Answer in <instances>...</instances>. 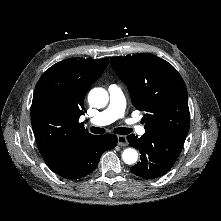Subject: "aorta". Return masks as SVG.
Listing matches in <instances>:
<instances>
[{
  "label": "aorta",
  "mask_w": 221,
  "mask_h": 221,
  "mask_svg": "<svg viewBox=\"0 0 221 221\" xmlns=\"http://www.w3.org/2000/svg\"><path fill=\"white\" fill-rule=\"evenodd\" d=\"M109 101L108 93L103 88H94L89 92L88 102L96 108H103ZM122 159L126 164H134L138 159V153L133 148H127L122 153Z\"/></svg>",
  "instance_id": "obj_1"
}]
</instances>
